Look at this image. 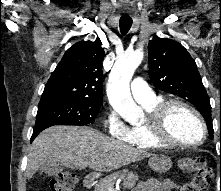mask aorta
<instances>
[{
	"mask_svg": "<svg viewBox=\"0 0 221 191\" xmlns=\"http://www.w3.org/2000/svg\"><path fill=\"white\" fill-rule=\"evenodd\" d=\"M144 57L138 49L126 52L117 58L109 75L107 96L114 110L128 122L142 117L141 108L134 102L130 93V81Z\"/></svg>",
	"mask_w": 221,
	"mask_h": 191,
	"instance_id": "762f6f07",
	"label": "aorta"
}]
</instances>
